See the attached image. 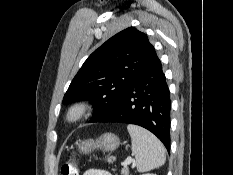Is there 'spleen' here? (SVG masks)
Segmentation results:
<instances>
[{"mask_svg":"<svg viewBox=\"0 0 233 175\" xmlns=\"http://www.w3.org/2000/svg\"><path fill=\"white\" fill-rule=\"evenodd\" d=\"M131 137L132 154L136 158L138 172H145L164 165L165 148L148 130L133 124L127 126Z\"/></svg>","mask_w":233,"mask_h":175,"instance_id":"3e777b00","label":"spleen"}]
</instances>
